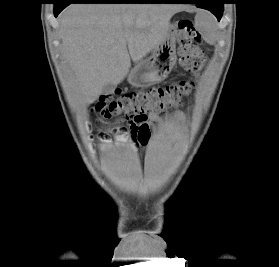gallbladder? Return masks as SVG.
I'll list each match as a JSON object with an SVG mask.
<instances>
[{
    "mask_svg": "<svg viewBox=\"0 0 279 267\" xmlns=\"http://www.w3.org/2000/svg\"><path fill=\"white\" fill-rule=\"evenodd\" d=\"M115 85L113 83H108L103 87L102 93L103 94H110L114 91Z\"/></svg>",
    "mask_w": 279,
    "mask_h": 267,
    "instance_id": "obj_1",
    "label": "gallbladder"
}]
</instances>
